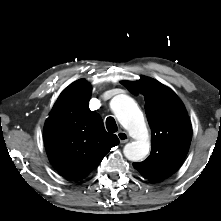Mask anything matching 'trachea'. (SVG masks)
Wrapping results in <instances>:
<instances>
[{
  "label": "trachea",
  "instance_id": "trachea-1",
  "mask_svg": "<svg viewBox=\"0 0 221 221\" xmlns=\"http://www.w3.org/2000/svg\"><path fill=\"white\" fill-rule=\"evenodd\" d=\"M106 128L109 132H112V133L117 132L118 127L113 117H108L106 119Z\"/></svg>",
  "mask_w": 221,
  "mask_h": 221
}]
</instances>
